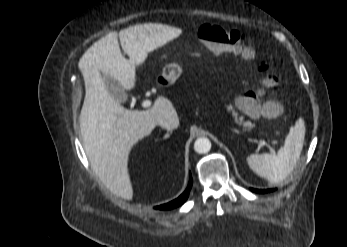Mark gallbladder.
Here are the masks:
<instances>
[{"instance_id": "gallbladder-1", "label": "gallbladder", "mask_w": 347, "mask_h": 247, "mask_svg": "<svg viewBox=\"0 0 347 247\" xmlns=\"http://www.w3.org/2000/svg\"><path fill=\"white\" fill-rule=\"evenodd\" d=\"M108 93L119 102H125L128 98L125 90L120 83L109 75H103Z\"/></svg>"}]
</instances>
